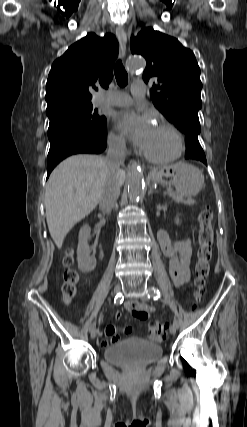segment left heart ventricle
Wrapping results in <instances>:
<instances>
[{"label":"left heart ventricle","mask_w":247,"mask_h":427,"mask_svg":"<svg viewBox=\"0 0 247 427\" xmlns=\"http://www.w3.org/2000/svg\"><path fill=\"white\" fill-rule=\"evenodd\" d=\"M175 149V139L172 134L163 128L155 127L146 146V152L154 156H167Z\"/></svg>","instance_id":"b2bd125f"}]
</instances>
